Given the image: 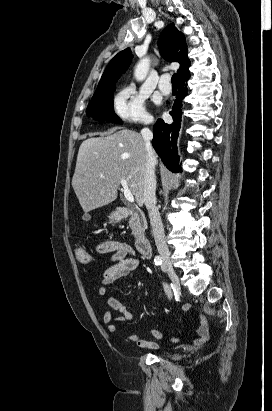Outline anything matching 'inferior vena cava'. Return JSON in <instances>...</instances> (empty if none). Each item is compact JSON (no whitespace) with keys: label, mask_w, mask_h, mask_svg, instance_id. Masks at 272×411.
Here are the masks:
<instances>
[{"label":"inferior vena cava","mask_w":272,"mask_h":411,"mask_svg":"<svg viewBox=\"0 0 272 411\" xmlns=\"http://www.w3.org/2000/svg\"><path fill=\"white\" fill-rule=\"evenodd\" d=\"M153 122V118L149 117L144 120V124H150ZM141 135L145 141L146 147V166L144 174V189H143V201L148 210L150 224L152 227V233L155 239L156 247L159 255L164 262H169L170 253L165 240L164 228L161 221L160 213L156 207V177H155V164L156 159L151 146V140L153 138L152 131L145 127L141 130Z\"/></svg>","instance_id":"602c4592"}]
</instances>
